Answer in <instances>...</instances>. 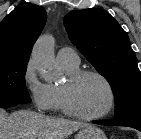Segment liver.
I'll return each instance as SVG.
<instances>
[{"instance_id":"obj_1","label":"liver","mask_w":141,"mask_h":139,"mask_svg":"<svg viewBox=\"0 0 141 139\" xmlns=\"http://www.w3.org/2000/svg\"><path fill=\"white\" fill-rule=\"evenodd\" d=\"M88 126L65 118L45 116L30 110L8 114L0 109V139H66Z\"/></svg>"}]
</instances>
